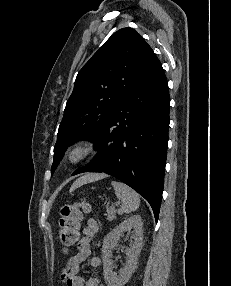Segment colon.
<instances>
[{"label": "colon", "mask_w": 231, "mask_h": 286, "mask_svg": "<svg viewBox=\"0 0 231 286\" xmlns=\"http://www.w3.org/2000/svg\"><path fill=\"white\" fill-rule=\"evenodd\" d=\"M88 210V204L81 201L65 205L61 208L59 219V239L64 252L73 247L79 239L80 223L83 214Z\"/></svg>", "instance_id": "1"}]
</instances>
